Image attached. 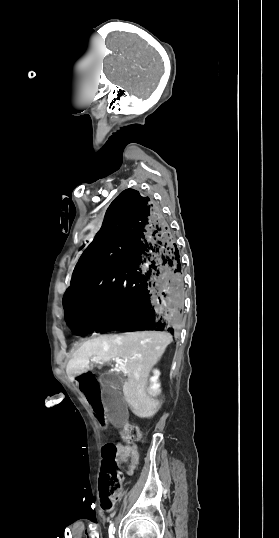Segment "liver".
I'll list each match as a JSON object with an SVG mask.
<instances>
[{
	"instance_id": "6515ba94",
	"label": "liver",
	"mask_w": 279,
	"mask_h": 538,
	"mask_svg": "<svg viewBox=\"0 0 279 538\" xmlns=\"http://www.w3.org/2000/svg\"><path fill=\"white\" fill-rule=\"evenodd\" d=\"M172 338L166 332H126L120 336H100L84 342L67 364V374H83L90 370L89 358L97 356L101 362L120 358L124 362L125 376L123 396L139 418H151L161 402L153 400L147 390L150 370L163 356Z\"/></svg>"
}]
</instances>
